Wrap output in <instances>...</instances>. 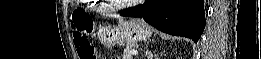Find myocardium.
I'll return each instance as SVG.
<instances>
[{"instance_id": "obj_1", "label": "myocardium", "mask_w": 261, "mask_h": 59, "mask_svg": "<svg viewBox=\"0 0 261 59\" xmlns=\"http://www.w3.org/2000/svg\"><path fill=\"white\" fill-rule=\"evenodd\" d=\"M106 4H107V7L110 9V10H121V9H124L126 7H129L130 4L129 3H114L112 1H105Z\"/></svg>"}]
</instances>
